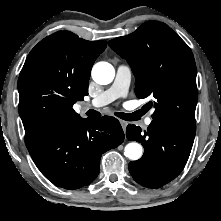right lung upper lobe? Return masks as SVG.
Here are the masks:
<instances>
[{
  "instance_id": "1",
  "label": "right lung upper lobe",
  "mask_w": 221,
  "mask_h": 221,
  "mask_svg": "<svg viewBox=\"0 0 221 221\" xmlns=\"http://www.w3.org/2000/svg\"><path fill=\"white\" fill-rule=\"evenodd\" d=\"M106 46L58 31L31 50L18 79L26 146L59 123L81 118L72 107L88 94L92 65Z\"/></svg>"
}]
</instances>
